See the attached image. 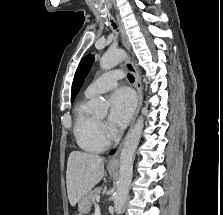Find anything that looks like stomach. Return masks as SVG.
<instances>
[{"mask_svg": "<svg viewBox=\"0 0 223 215\" xmlns=\"http://www.w3.org/2000/svg\"><path fill=\"white\" fill-rule=\"evenodd\" d=\"M107 169H109V173H114V171H116V167H110V165H108ZM87 196L88 193H86V195H82L81 199L78 201V209L81 211V213H88L91 207L90 201L88 200L89 198Z\"/></svg>", "mask_w": 223, "mask_h": 215, "instance_id": "0dacf381", "label": "stomach"}]
</instances>
